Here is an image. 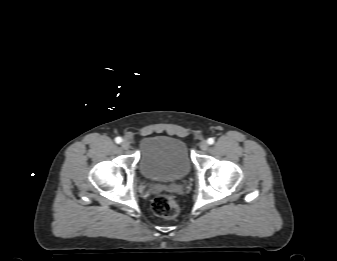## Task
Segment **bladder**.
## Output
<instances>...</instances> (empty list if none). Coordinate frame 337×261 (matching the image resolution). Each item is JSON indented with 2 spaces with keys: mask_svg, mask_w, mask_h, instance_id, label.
<instances>
[{
  "mask_svg": "<svg viewBox=\"0 0 337 261\" xmlns=\"http://www.w3.org/2000/svg\"><path fill=\"white\" fill-rule=\"evenodd\" d=\"M140 171L156 182H175L185 178L190 171L186 144L175 137L152 135L140 142Z\"/></svg>",
  "mask_w": 337,
  "mask_h": 261,
  "instance_id": "bladder-1",
  "label": "bladder"
}]
</instances>
